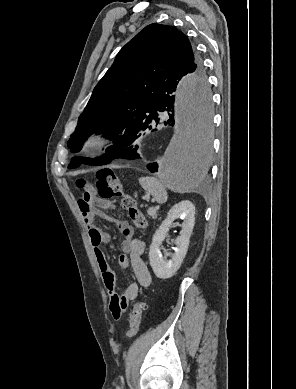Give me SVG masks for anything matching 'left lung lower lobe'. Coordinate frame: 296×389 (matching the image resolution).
Listing matches in <instances>:
<instances>
[{
	"label": "left lung lower lobe",
	"instance_id": "1",
	"mask_svg": "<svg viewBox=\"0 0 296 389\" xmlns=\"http://www.w3.org/2000/svg\"><path fill=\"white\" fill-rule=\"evenodd\" d=\"M181 76L176 75L169 78L156 93V103L154 104L147 119L138 122L136 119L124 130V133L113 140V144L106 149V153L99 160L100 165L108 164L113 159H142V146L138 141L142 132L151 129L152 120L174 126L176 120V88ZM191 96L197 112V122L194 129L188 130L185 140L189 149V154L193 164V179L204 176L210 161L211 142L209 139L211 127V97L206 86L204 77H194L190 79ZM159 112H165V116H158ZM154 131V130H153ZM151 172L158 170L157 163L148 164Z\"/></svg>",
	"mask_w": 296,
	"mask_h": 389
}]
</instances>
